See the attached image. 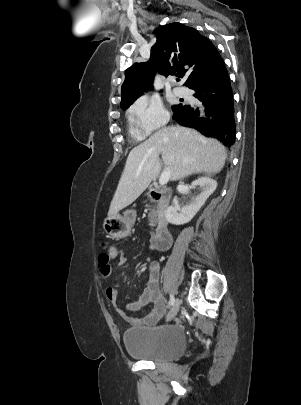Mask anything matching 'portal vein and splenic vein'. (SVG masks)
Returning <instances> with one entry per match:
<instances>
[{
  "instance_id": "obj_1",
  "label": "portal vein and splenic vein",
  "mask_w": 301,
  "mask_h": 405,
  "mask_svg": "<svg viewBox=\"0 0 301 405\" xmlns=\"http://www.w3.org/2000/svg\"><path fill=\"white\" fill-rule=\"evenodd\" d=\"M170 178V170L166 169L162 172L160 178H159V184L160 185H165L169 181Z\"/></svg>"
}]
</instances>
